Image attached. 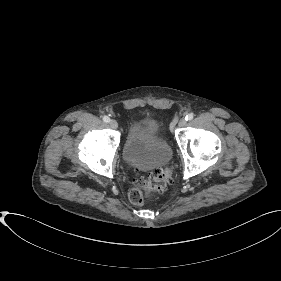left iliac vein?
I'll use <instances>...</instances> for the list:
<instances>
[{"mask_svg":"<svg viewBox=\"0 0 281 281\" xmlns=\"http://www.w3.org/2000/svg\"><path fill=\"white\" fill-rule=\"evenodd\" d=\"M186 124H187V121L185 118L180 119V121L178 122L179 127H184Z\"/></svg>","mask_w":281,"mask_h":281,"instance_id":"4c4485c4","label":"left iliac vein"}]
</instances>
